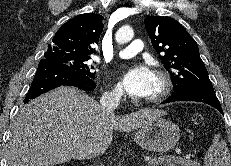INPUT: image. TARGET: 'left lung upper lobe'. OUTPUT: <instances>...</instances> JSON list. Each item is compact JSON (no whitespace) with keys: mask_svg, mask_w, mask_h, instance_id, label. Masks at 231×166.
Wrapping results in <instances>:
<instances>
[{"mask_svg":"<svg viewBox=\"0 0 231 166\" xmlns=\"http://www.w3.org/2000/svg\"><path fill=\"white\" fill-rule=\"evenodd\" d=\"M144 23L154 49L171 75L174 92L188 87L213 88L196 41L178 21L148 16Z\"/></svg>","mask_w":231,"mask_h":166,"instance_id":"5c2ea615","label":"left lung upper lobe"}]
</instances>
